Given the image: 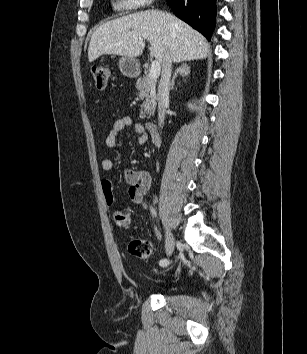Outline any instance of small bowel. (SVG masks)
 Listing matches in <instances>:
<instances>
[{
	"mask_svg": "<svg viewBox=\"0 0 307 354\" xmlns=\"http://www.w3.org/2000/svg\"><path fill=\"white\" fill-rule=\"evenodd\" d=\"M132 127L137 136L139 143H145L148 140V134L145 127L138 122H135L129 116H123L116 120L109 133L105 138V146L108 149H113L116 146L119 134L126 128ZM102 169L109 171L113 168L111 158H104L101 163ZM123 177L129 185L127 194L130 200L138 205L145 206V195L151 186V176L146 170L124 169ZM102 192L107 204L111 205L114 202L113 185L110 180H103L101 183Z\"/></svg>",
	"mask_w": 307,
	"mask_h": 354,
	"instance_id": "small-bowel-1",
	"label": "small bowel"
}]
</instances>
